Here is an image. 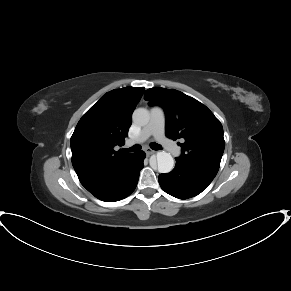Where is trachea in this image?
<instances>
[{
  "mask_svg": "<svg viewBox=\"0 0 291 291\" xmlns=\"http://www.w3.org/2000/svg\"><path fill=\"white\" fill-rule=\"evenodd\" d=\"M150 147L153 150H161L162 149L161 145H159V144H157L155 142L151 143ZM139 150H141V146L140 145H135V146H132L130 148L124 149V151H126V152H137Z\"/></svg>",
  "mask_w": 291,
  "mask_h": 291,
  "instance_id": "1",
  "label": "trachea"
}]
</instances>
